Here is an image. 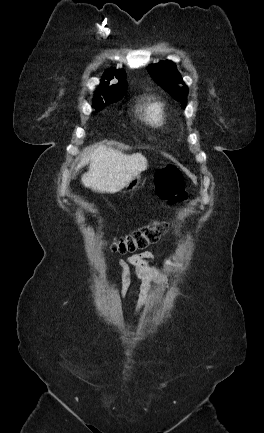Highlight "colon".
Wrapping results in <instances>:
<instances>
[{
  "label": "colon",
  "mask_w": 264,
  "mask_h": 433,
  "mask_svg": "<svg viewBox=\"0 0 264 433\" xmlns=\"http://www.w3.org/2000/svg\"><path fill=\"white\" fill-rule=\"evenodd\" d=\"M155 185L158 196L171 204L181 202L187 197L182 174L173 165H167L157 172ZM165 230L166 224L156 222L131 234L114 238L110 241L109 248L121 254L142 250L156 243Z\"/></svg>",
  "instance_id": "colon-1"
}]
</instances>
